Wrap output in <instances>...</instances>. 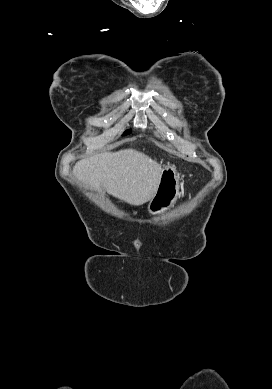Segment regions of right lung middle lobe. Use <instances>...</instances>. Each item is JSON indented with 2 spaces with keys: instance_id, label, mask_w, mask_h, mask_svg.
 I'll use <instances>...</instances> for the list:
<instances>
[{
  "instance_id": "dd1d6c3e",
  "label": "right lung middle lobe",
  "mask_w": 272,
  "mask_h": 389,
  "mask_svg": "<svg viewBox=\"0 0 272 389\" xmlns=\"http://www.w3.org/2000/svg\"><path fill=\"white\" fill-rule=\"evenodd\" d=\"M130 133H131V130H128V131L124 132L123 135H128V134H130Z\"/></svg>"
}]
</instances>
